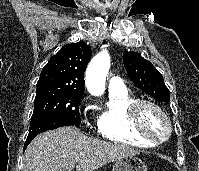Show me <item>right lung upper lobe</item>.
<instances>
[{"label": "right lung upper lobe", "instance_id": "obj_1", "mask_svg": "<svg viewBox=\"0 0 199 171\" xmlns=\"http://www.w3.org/2000/svg\"><path fill=\"white\" fill-rule=\"evenodd\" d=\"M91 48L79 41L64 45L42 69L37 87H55L84 94V71Z\"/></svg>", "mask_w": 199, "mask_h": 171}]
</instances>
